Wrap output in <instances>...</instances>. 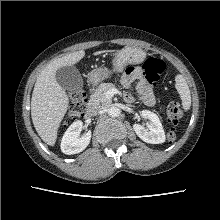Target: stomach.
<instances>
[{"mask_svg":"<svg viewBox=\"0 0 220 220\" xmlns=\"http://www.w3.org/2000/svg\"><path fill=\"white\" fill-rule=\"evenodd\" d=\"M146 53L140 48L127 47L115 54L112 60V69L106 67L96 68L88 74L90 83L96 85L104 79L111 77L113 73L122 72L129 64H139L145 60Z\"/></svg>","mask_w":220,"mask_h":220,"instance_id":"1","label":"stomach"}]
</instances>
